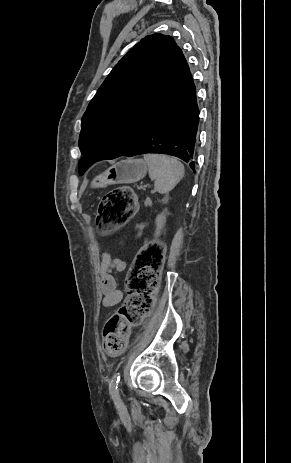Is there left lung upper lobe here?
Instances as JSON below:
<instances>
[{
    "label": "left lung upper lobe",
    "instance_id": "obj_1",
    "mask_svg": "<svg viewBox=\"0 0 291 463\" xmlns=\"http://www.w3.org/2000/svg\"><path fill=\"white\" fill-rule=\"evenodd\" d=\"M182 50L172 37L146 36L112 69L82 117V175L102 159L132 149L192 81Z\"/></svg>",
    "mask_w": 291,
    "mask_h": 463
}]
</instances>
